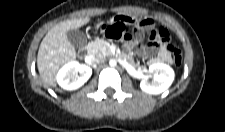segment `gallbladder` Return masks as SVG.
I'll return each mask as SVG.
<instances>
[{
    "mask_svg": "<svg viewBox=\"0 0 225 132\" xmlns=\"http://www.w3.org/2000/svg\"><path fill=\"white\" fill-rule=\"evenodd\" d=\"M69 42L77 49L84 48L87 44V38L85 34L78 29H71L67 33Z\"/></svg>",
    "mask_w": 225,
    "mask_h": 132,
    "instance_id": "1",
    "label": "gallbladder"
}]
</instances>
